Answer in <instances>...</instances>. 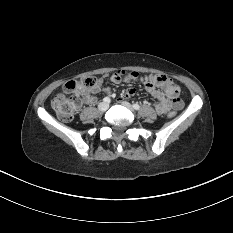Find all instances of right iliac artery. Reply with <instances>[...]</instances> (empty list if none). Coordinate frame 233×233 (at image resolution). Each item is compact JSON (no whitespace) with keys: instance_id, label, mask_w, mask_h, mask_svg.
Returning a JSON list of instances; mask_svg holds the SVG:
<instances>
[{"instance_id":"obj_1","label":"right iliac artery","mask_w":233,"mask_h":233,"mask_svg":"<svg viewBox=\"0 0 233 233\" xmlns=\"http://www.w3.org/2000/svg\"><path fill=\"white\" fill-rule=\"evenodd\" d=\"M103 101H104V102H110V98H109V97H105V98L103 99Z\"/></svg>"}]
</instances>
